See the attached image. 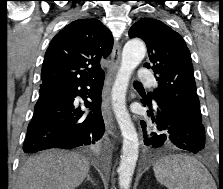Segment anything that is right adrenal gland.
<instances>
[{
  "label": "right adrenal gland",
  "instance_id": "obj_1",
  "mask_svg": "<svg viewBox=\"0 0 223 189\" xmlns=\"http://www.w3.org/2000/svg\"><path fill=\"white\" fill-rule=\"evenodd\" d=\"M87 180L90 181L91 183H94L89 174L87 175Z\"/></svg>",
  "mask_w": 223,
  "mask_h": 189
}]
</instances>
